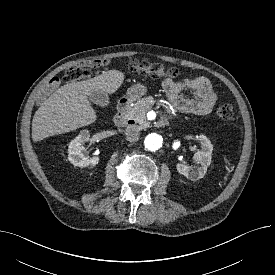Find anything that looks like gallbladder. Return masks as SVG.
I'll use <instances>...</instances> for the list:
<instances>
[{
  "mask_svg": "<svg viewBox=\"0 0 275 275\" xmlns=\"http://www.w3.org/2000/svg\"><path fill=\"white\" fill-rule=\"evenodd\" d=\"M89 99L91 102L101 107H107L110 103L108 94L100 90L91 92Z\"/></svg>",
  "mask_w": 275,
  "mask_h": 275,
  "instance_id": "gallbladder-1",
  "label": "gallbladder"
}]
</instances>
